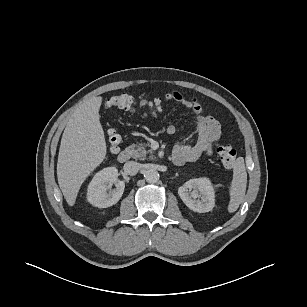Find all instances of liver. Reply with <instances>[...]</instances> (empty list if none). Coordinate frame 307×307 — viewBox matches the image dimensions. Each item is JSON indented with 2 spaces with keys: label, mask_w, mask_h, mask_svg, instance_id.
Instances as JSON below:
<instances>
[{
  "label": "liver",
  "mask_w": 307,
  "mask_h": 307,
  "mask_svg": "<svg viewBox=\"0 0 307 307\" xmlns=\"http://www.w3.org/2000/svg\"><path fill=\"white\" fill-rule=\"evenodd\" d=\"M102 97L79 106L63 132L57 162L59 187L68 205L74 206L81 185L107 154L99 110Z\"/></svg>",
  "instance_id": "obj_1"
}]
</instances>
